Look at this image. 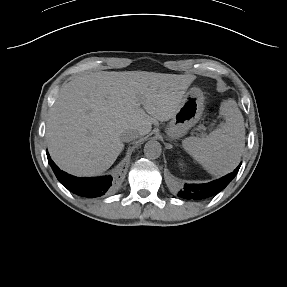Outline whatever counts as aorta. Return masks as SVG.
Segmentation results:
<instances>
[{
  "instance_id": "aorta-1",
  "label": "aorta",
  "mask_w": 287,
  "mask_h": 287,
  "mask_svg": "<svg viewBox=\"0 0 287 287\" xmlns=\"http://www.w3.org/2000/svg\"><path fill=\"white\" fill-rule=\"evenodd\" d=\"M162 152L161 144L157 141H148L144 146V155L148 159H157Z\"/></svg>"
}]
</instances>
